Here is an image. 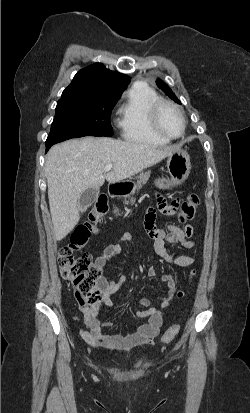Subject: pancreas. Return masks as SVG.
<instances>
[{"instance_id":"cf45deb5","label":"pancreas","mask_w":250,"mask_h":413,"mask_svg":"<svg viewBox=\"0 0 250 413\" xmlns=\"http://www.w3.org/2000/svg\"><path fill=\"white\" fill-rule=\"evenodd\" d=\"M150 177V171L148 172H141L138 176H136L137 184L136 189L140 190L144 184L148 181ZM135 201L134 198H131L130 202L133 203ZM114 214L119 215L118 209H114Z\"/></svg>"}]
</instances>
